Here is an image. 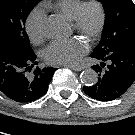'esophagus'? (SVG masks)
I'll use <instances>...</instances> for the list:
<instances>
[{"mask_svg": "<svg viewBox=\"0 0 135 135\" xmlns=\"http://www.w3.org/2000/svg\"><path fill=\"white\" fill-rule=\"evenodd\" d=\"M64 67H67V68H70V69H72V70H74V71H81V70H83L84 68L83 67H81V66H78V67H75V66H69V65H63Z\"/></svg>", "mask_w": 135, "mask_h": 135, "instance_id": "obj_1", "label": "esophagus"}]
</instances>
